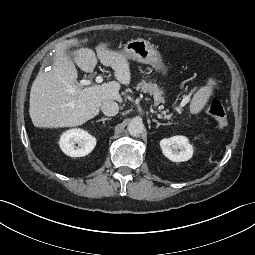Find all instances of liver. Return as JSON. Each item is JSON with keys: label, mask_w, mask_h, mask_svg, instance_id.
<instances>
[{"label": "liver", "mask_w": 255, "mask_h": 255, "mask_svg": "<svg viewBox=\"0 0 255 255\" xmlns=\"http://www.w3.org/2000/svg\"><path fill=\"white\" fill-rule=\"evenodd\" d=\"M73 46H80L77 38L56 44L52 64H43L32 84L29 114L35 127L79 126L99 114L103 101L122 102L120 84L129 85L131 81L130 64L122 51L109 50L108 44L101 42L95 47L97 57L92 49L82 47L71 53L73 62L67 54V49ZM97 58L114 70L117 81L86 88L75 84L78 77L75 64L91 73ZM47 66L49 70H46Z\"/></svg>", "instance_id": "6515ba94"}]
</instances>
